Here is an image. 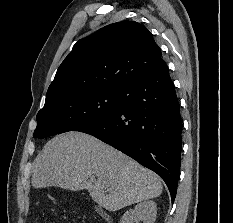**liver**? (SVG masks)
<instances>
[{"instance_id": "liver-1", "label": "liver", "mask_w": 233, "mask_h": 223, "mask_svg": "<svg viewBox=\"0 0 233 223\" xmlns=\"http://www.w3.org/2000/svg\"><path fill=\"white\" fill-rule=\"evenodd\" d=\"M31 181L33 187L88 189L93 201L109 211L162 193L154 171L81 131L60 133L47 141L32 163Z\"/></svg>"}]
</instances>
